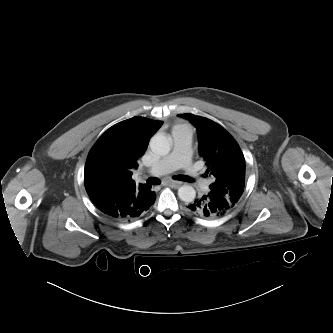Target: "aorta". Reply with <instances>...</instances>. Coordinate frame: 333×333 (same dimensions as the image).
I'll list each match as a JSON object with an SVG mask.
<instances>
[{"mask_svg": "<svg viewBox=\"0 0 333 333\" xmlns=\"http://www.w3.org/2000/svg\"><path fill=\"white\" fill-rule=\"evenodd\" d=\"M153 153L164 156L170 152L171 142L164 134H155L150 140ZM179 198L186 203L192 202L196 197L195 189L190 185H183L178 189Z\"/></svg>", "mask_w": 333, "mask_h": 333, "instance_id": "obj_1", "label": "aorta"}]
</instances>
